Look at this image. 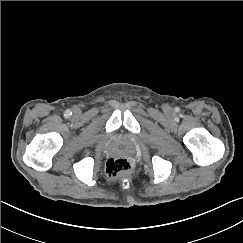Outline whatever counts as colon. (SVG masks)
Returning <instances> with one entry per match:
<instances>
[{
  "mask_svg": "<svg viewBox=\"0 0 243 243\" xmlns=\"http://www.w3.org/2000/svg\"><path fill=\"white\" fill-rule=\"evenodd\" d=\"M131 169V162L125 157H113L107 161L106 173L110 178L125 175Z\"/></svg>",
  "mask_w": 243,
  "mask_h": 243,
  "instance_id": "5ec220e1",
  "label": "colon"
}]
</instances>
